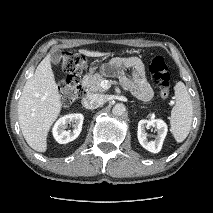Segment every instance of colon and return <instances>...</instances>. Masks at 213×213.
<instances>
[{"label":"colon","mask_w":213,"mask_h":213,"mask_svg":"<svg viewBox=\"0 0 213 213\" xmlns=\"http://www.w3.org/2000/svg\"><path fill=\"white\" fill-rule=\"evenodd\" d=\"M87 68L85 58L76 53H67L62 59V69L67 74L59 85L61 101L70 105L83 95L81 86L82 73ZM149 71L155 80L159 94L168 98L170 94V75L165 59L160 55H153L149 60Z\"/></svg>","instance_id":"5ec220e1"}]
</instances>
